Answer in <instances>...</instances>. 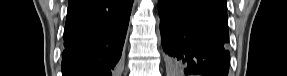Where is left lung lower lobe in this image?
<instances>
[{
  "label": "left lung lower lobe",
  "instance_id": "obj_1",
  "mask_svg": "<svg viewBox=\"0 0 287 76\" xmlns=\"http://www.w3.org/2000/svg\"><path fill=\"white\" fill-rule=\"evenodd\" d=\"M162 47L186 74L227 76L230 54L226 6L214 0H158Z\"/></svg>",
  "mask_w": 287,
  "mask_h": 76
}]
</instances>
